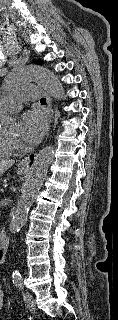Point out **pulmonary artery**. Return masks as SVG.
I'll return each mask as SVG.
<instances>
[{"instance_id": "e3ab8cb5", "label": "pulmonary artery", "mask_w": 118, "mask_h": 320, "mask_svg": "<svg viewBox=\"0 0 118 320\" xmlns=\"http://www.w3.org/2000/svg\"><path fill=\"white\" fill-rule=\"evenodd\" d=\"M39 98V89L35 85H26L21 89L12 90L0 100V113L16 112L26 101H36Z\"/></svg>"}]
</instances>
